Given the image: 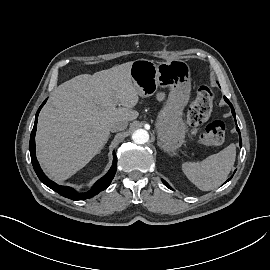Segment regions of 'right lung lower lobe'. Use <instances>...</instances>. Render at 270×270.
Masks as SVG:
<instances>
[{
    "label": "right lung lower lobe",
    "instance_id": "right-lung-lower-lobe-1",
    "mask_svg": "<svg viewBox=\"0 0 270 270\" xmlns=\"http://www.w3.org/2000/svg\"><path fill=\"white\" fill-rule=\"evenodd\" d=\"M46 100L42 103V105L39 107V109L36 113L34 127H33V130L31 132V136H30L29 149H30L31 162H32L33 168H34L37 176L41 180V182H43L46 186H48L49 188L58 192L62 196L67 197V198L72 199V200H84V199L91 198V197L97 195L99 192L106 189L110 185L112 179L114 178L115 173H116V169H117V157L115 155V152H113V164H112V167L110 168V170L108 171V173L105 176H103L100 180H98L94 184L92 189L86 193H78L71 187L60 186V185H57L56 183H54L53 181H51L41 170L39 163L36 159V155H35V133H36V129H37L38 114H39L42 106L45 104Z\"/></svg>",
    "mask_w": 270,
    "mask_h": 270
}]
</instances>
